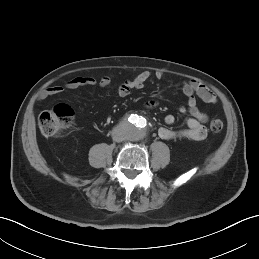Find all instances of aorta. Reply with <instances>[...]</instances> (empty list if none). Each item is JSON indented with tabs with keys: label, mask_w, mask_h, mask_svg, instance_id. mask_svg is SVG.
Instances as JSON below:
<instances>
[{
	"label": "aorta",
	"mask_w": 259,
	"mask_h": 259,
	"mask_svg": "<svg viewBox=\"0 0 259 259\" xmlns=\"http://www.w3.org/2000/svg\"><path fill=\"white\" fill-rule=\"evenodd\" d=\"M128 136L132 140H140L146 134V128L144 125H136L128 122Z\"/></svg>",
	"instance_id": "aorta-1"
}]
</instances>
